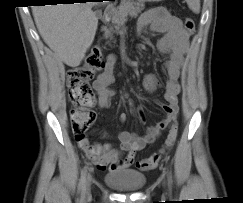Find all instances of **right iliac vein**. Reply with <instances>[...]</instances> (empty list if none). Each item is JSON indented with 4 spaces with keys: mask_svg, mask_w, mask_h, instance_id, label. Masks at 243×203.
<instances>
[{
    "mask_svg": "<svg viewBox=\"0 0 243 203\" xmlns=\"http://www.w3.org/2000/svg\"><path fill=\"white\" fill-rule=\"evenodd\" d=\"M90 189V178H88L86 186H85V193L88 194Z\"/></svg>",
    "mask_w": 243,
    "mask_h": 203,
    "instance_id": "right-iliac-vein-1",
    "label": "right iliac vein"
}]
</instances>
